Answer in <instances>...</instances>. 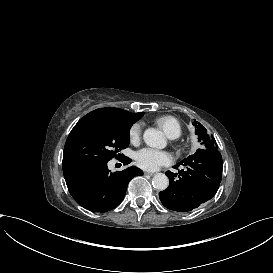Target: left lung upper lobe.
Listing matches in <instances>:
<instances>
[{"label": "left lung upper lobe", "instance_id": "obj_1", "mask_svg": "<svg viewBox=\"0 0 273 273\" xmlns=\"http://www.w3.org/2000/svg\"><path fill=\"white\" fill-rule=\"evenodd\" d=\"M193 125L195 126V133L198 135V141L203 145V149H213L217 150V144L215 139L210 138L207 134L206 129L199 122L194 120Z\"/></svg>", "mask_w": 273, "mask_h": 273}]
</instances>
